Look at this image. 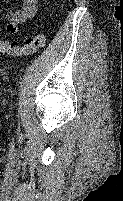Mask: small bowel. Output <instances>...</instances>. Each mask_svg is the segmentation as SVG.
I'll list each match as a JSON object with an SVG mask.
<instances>
[{"instance_id":"small-bowel-1","label":"small bowel","mask_w":123,"mask_h":201,"mask_svg":"<svg viewBox=\"0 0 123 201\" xmlns=\"http://www.w3.org/2000/svg\"><path fill=\"white\" fill-rule=\"evenodd\" d=\"M37 11V0H21L19 7L7 14L6 31L15 34L19 31L21 23L34 17Z\"/></svg>"}]
</instances>
